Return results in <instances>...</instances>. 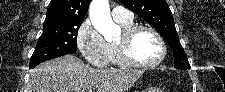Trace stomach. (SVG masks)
Here are the masks:
<instances>
[{
    "instance_id": "1",
    "label": "stomach",
    "mask_w": 225,
    "mask_h": 92,
    "mask_svg": "<svg viewBox=\"0 0 225 92\" xmlns=\"http://www.w3.org/2000/svg\"><path fill=\"white\" fill-rule=\"evenodd\" d=\"M145 92H161V91L159 89L149 88V89L145 90Z\"/></svg>"
}]
</instances>
